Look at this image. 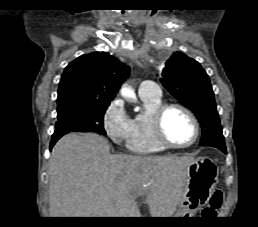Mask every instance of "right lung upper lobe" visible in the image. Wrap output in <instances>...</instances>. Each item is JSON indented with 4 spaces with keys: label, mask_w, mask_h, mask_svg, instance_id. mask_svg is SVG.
<instances>
[{
    "label": "right lung upper lobe",
    "mask_w": 258,
    "mask_h": 227,
    "mask_svg": "<svg viewBox=\"0 0 258 227\" xmlns=\"http://www.w3.org/2000/svg\"><path fill=\"white\" fill-rule=\"evenodd\" d=\"M129 73L127 65L107 52L82 55L65 68L58 98L74 96L110 103Z\"/></svg>",
    "instance_id": "right-lung-upper-lobe-1"
}]
</instances>
